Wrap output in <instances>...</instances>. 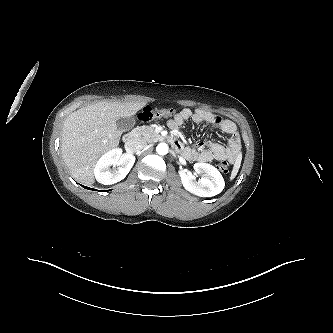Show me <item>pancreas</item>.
<instances>
[{"mask_svg": "<svg viewBox=\"0 0 333 333\" xmlns=\"http://www.w3.org/2000/svg\"><path fill=\"white\" fill-rule=\"evenodd\" d=\"M133 134L136 138L144 139L147 142H153L159 137L152 126H138L133 130Z\"/></svg>", "mask_w": 333, "mask_h": 333, "instance_id": "pancreas-1", "label": "pancreas"}]
</instances>
